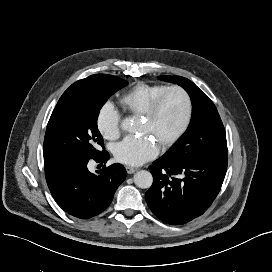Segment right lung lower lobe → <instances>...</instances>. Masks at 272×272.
<instances>
[{
    "label": "right lung lower lobe",
    "mask_w": 272,
    "mask_h": 272,
    "mask_svg": "<svg viewBox=\"0 0 272 272\" xmlns=\"http://www.w3.org/2000/svg\"><path fill=\"white\" fill-rule=\"evenodd\" d=\"M109 153L88 159L72 156L44 157L45 176L48 187L59 206L68 214L89 219L103 212L111 203L118 186L126 178L121 164H113L91 173L90 160L106 163Z\"/></svg>",
    "instance_id": "98d812e1"
}]
</instances>
